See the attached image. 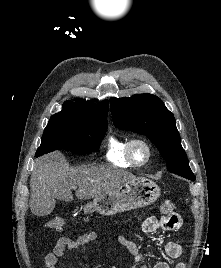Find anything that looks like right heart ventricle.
Here are the masks:
<instances>
[{"instance_id": "1", "label": "right heart ventricle", "mask_w": 221, "mask_h": 268, "mask_svg": "<svg viewBox=\"0 0 221 268\" xmlns=\"http://www.w3.org/2000/svg\"><path fill=\"white\" fill-rule=\"evenodd\" d=\"M128 141L126 137L110 136L107 140L106 160L119 167H133L126 154Z\"/></svg>"}]
</instances>
